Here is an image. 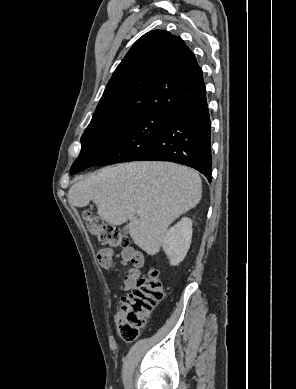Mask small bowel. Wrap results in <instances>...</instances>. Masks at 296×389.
Here are the masks:
<instances>
[{
    "label": "small bowel",
    "instance_id": "1",
    "mask_svg": "<svg viewBox=\"0 0 296 389\" xmlns=\"http://www.w3.org/2000/svg\"><path fill=\"white\" fill-rule=\"evenodd\" d=\"M122 263H129L130 268L128 274L120 284V289L123 291L134 288L137 280L141 275V267L144 264L143 255L132 247H126L122 249L120 253ZM97 259L100 265L106 269L111 270L114 268L113 252L110 249H102L97 254Z\"/></svg>",
    "mask_w": 296,
    "mask_h": 389
}]
</instances>
